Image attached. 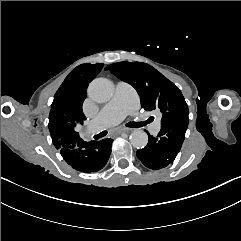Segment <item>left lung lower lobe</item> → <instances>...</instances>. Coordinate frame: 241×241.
Returning <instances> with one entry per match:
<instances>
[{"label": "left lung lower lobe", "instance_id": "1", "mask_svg": "<svg viewBox=\"0 0 241 241\" xmlns=\"http://www.w3.org/2000/svg\"><path fill=\"white\" fill-rule=\"evenodd\" d=\"M188 124L167 123L161 125L157 137L149 135L146 147L137 151L138 159L150 169H161L174 161L185 138Z\"/></svg>", "mask_w": 241, "mask_h": 241}]
</instances>
